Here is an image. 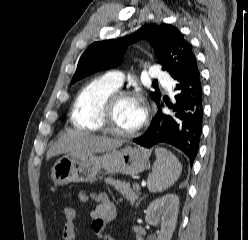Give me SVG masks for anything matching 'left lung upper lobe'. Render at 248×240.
Segmentation results:
<instances>
[{
  "instance_id": "5c2ea615",
  "label": "left lung upper lobe",
  "mask_w": 248,
  "mask_h": 240,
  "mask_svg": "<svg viewBox=\"0 0 248 240\" xmlns=\"http://www.w3.org/2000/svg\"><path fill=\"white\" fill-rule=\"evenodd\" d=\"M141 38L149 40L163 70L169 72L175 80L182 77L196 62L191 45L176 27L169 24L151 23L144 25L125 39L98 41L91 44L78 62L72 83L98 70L119 65L122 59L121 55L127 45L135 43ZM151 96L159 106L160 91L151 92Z\"/></svg>"
}]
</instances>
